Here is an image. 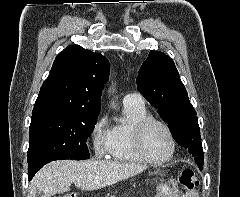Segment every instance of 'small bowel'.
<instances>
[{
  "label": "small bowel",
  "instance_id": "c3829d8e",
  "mask_svg": "<svg viewBox=\"0 0 240 197\" xmlns=\"http://www.w3.org/2000/svg\"><path fill=\"white\" fill-rule=\"evenodd\" d=\"M160 197H198V195L194 190L181 192L180 190L173 189L169 194L165 196L160 195Z\"/></svg>",
  "mask_w": 240,
  "mask_h": 197
}]
</instances>
